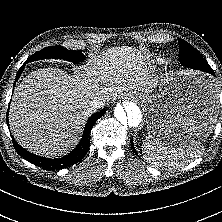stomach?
<instances>
[{"label":"stomach","mask_w":222,"mask_h":222,"mask_svg":"<svg viewBox=\"0 0 222 222\" xmlns=\"http://www.w3.org/2000/svg\"><path fill=\"white\" fill-rule=\"evenodd\" d=\"M147 112L148 137L163 145L186 148L208 137L218 115L217 94L205 74L180 71L161 78L153 95L130 92Z\"/></svg>","instance_id":"0dacf381"}]
</instances>
